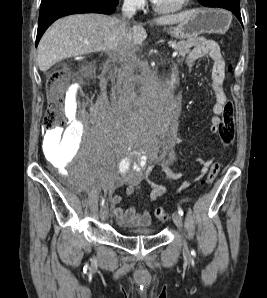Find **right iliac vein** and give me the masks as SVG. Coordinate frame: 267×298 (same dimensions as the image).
I'll return each mask as SVG.
<instances>
[{
	"instance_id": "right-iliac-vein-1",
	"label": "right iliac vein",
	"mask_w": 267,
	"mask_h": 298,
	"mask_svg": "<svg viewBox=\"0 0 267 298\" xmlns=\"http://www.w3.org/2000/svg\"><path fill=\"white\" fill-rule=\"evenodd\" d=\"M109 216V209L106 205H104L101 209H100V217L101 219L104 221L108 218Z\"/></svg>"
}]
</instances>
